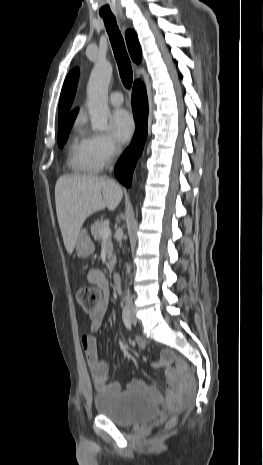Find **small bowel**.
Returning a JSON list of instances; mask_svg holds the SVG:
<instances>
[{
  "mask_svg": "<svg viewBox=\"0 0 263 465\" xmlns=\"http://www.w3.org/2000/svg\"><path fill=\"white\" fill-rule=\"evenodd\" d=\"M88 281L94 284L102 292V298L97 306L88 312L89 331L83 334L81 338L86 362L91 374L92 382L96 390L103 391L106 389L120 390V385L116 382H110L108 366L104 361L99 360L97 354V341L95 332L103 324L107 307H108V282L102 271L92 268L88 271ZM140 347H144L143 340L138 339ZM175 362L174 356L169 352H163L160 356V363L166 366V377L168 380V389L165 396L167 403L177 404L181 401L182 395L187 387V381L184 376L183 367L176 363L175 367L171 365ZM130 388L144 389L149 392L156 400L162 401L161 393L154 387H147L141 381H132Z\"/></svg>",
  "mask_w": 263,
  "mask_h": 465,
  "instance_id": "c3829d8e",
  "label": "small bowel"
}]
</instances>
